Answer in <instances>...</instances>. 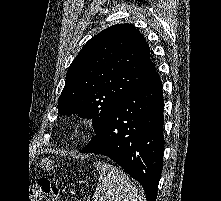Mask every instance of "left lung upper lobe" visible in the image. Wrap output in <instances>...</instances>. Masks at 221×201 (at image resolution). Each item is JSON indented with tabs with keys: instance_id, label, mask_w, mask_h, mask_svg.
<instances>
[{
	"instance_id": "obj_1",
	"label": "left lung upper lobe",
	"mask_w": 221,
	"mask_h": 201,
	"mask_svg": "<svg viewBox=\"0 0 221 201\" xmlns=\"http://www.w3.org/2000/svg\"><path fill=\"white\" fill-rule=\"evenodd\" d=\"M155 71L143 35L130 24L113 25L87 41L69 66L59 114L92 119L96 133L119 101Z\"/></svg>"
}]
</instances>
